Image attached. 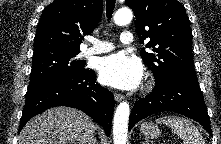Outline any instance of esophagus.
Instances as JSON below:
<instances>
[{"label": "esophagus", "mask_w": 221, "mask_h": 144, "mask_svg": "<svg viewBox=\"0 0 221 144\" xmlns=\"http://www.w3.org/2000/svg\"><path fill=\"white\" fill-rule=\"evenodd\" d=\"M114 98H115V100L116 101H121L124 97H123V95H121V94H118V93H114Z\"/></svg>", "instance_id": "1"}]
</instances>
